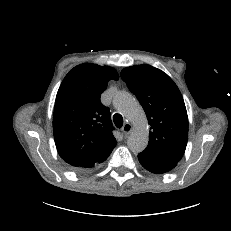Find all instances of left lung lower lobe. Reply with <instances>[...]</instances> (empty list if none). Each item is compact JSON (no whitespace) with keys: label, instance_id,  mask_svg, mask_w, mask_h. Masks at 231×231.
Listing matches in <instances>:
<instances>
[{"label":"left lung lower lobe","instance_id":"left-lung-lower-lobe-1","mask_svg":"<svg viewBox=\"0 0 231 231\" xmlns=\"http://www.w3.org/2000/svg\"><path fill=\"white\" fill-rule=\"evenodd\" d=\"M138 159L146 170L156 174L166 173L177 165L175 162L153 158L143 153L138 154Z\"/></svg>","mask_w":231,"mask_h":231}]
</instances>
